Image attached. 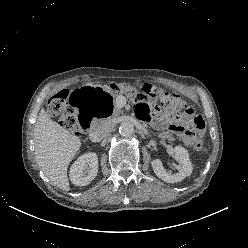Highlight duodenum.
Listing matches in <instances>:
<instances>
[{
  "instance_id": "duodenum-1",
  "label": "duodenum",
  "mask_w": 248,
  "mask_h": 248,
  "mask_svg": "<svg viewBox=\"0 0 248 248\" xmlns=\"http://www.w3.org/2000/svg\"><path fill=\"white\" fill-rule=\"evenodd\" d=\"M95 117L92 115V113L87 112L82 118V126L84 129H89L91 126V122Z\"/></svg>"
}]
</instances>
